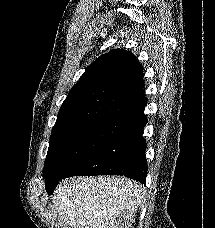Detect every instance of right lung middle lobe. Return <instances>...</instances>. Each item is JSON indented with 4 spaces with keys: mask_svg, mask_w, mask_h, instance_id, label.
<instances>
[{
    "mask_svg": "<svg viewBox=\"0 0 215 228\" xmlns=\"http://www.w3.org/2000/svg\"><path fill=\"white\" fill-rule=\"evenodd\" d=\"M127 126L121 121L93 119L52 133L43 169L47 193L51 195L69 170Z\"/></svg>",
    "mask_w": 215,
    "mask_h": 228,
    "instance_id": "obj_1",
    "label": "right lung middle lobe"
}]
</instances>
